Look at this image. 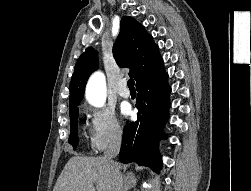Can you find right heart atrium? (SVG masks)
I'll return each mask as SVG.
<instances>
[{
	"label": "right heart atrium",
	"mask_w": 251,
	"mask_h": 191,
	"mask_svg": "<svg viewBox=\"0 0 251 191\" xmlns=\"http://www.w3.org/2000/svg\"><path fill=\"white\" fill-rule=\"evenodd\" d=\"M85 110L89 119V140L93 151H104L121 140L122 127L112 110L104 107H87Z\"/></svg>",
	"instance_id": "obj_1"
}]
</instances>
